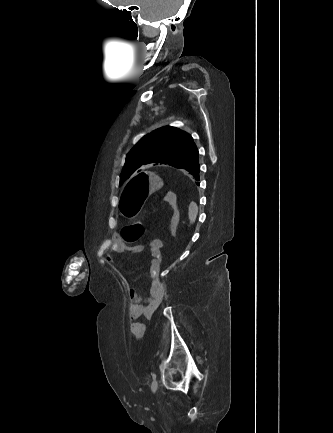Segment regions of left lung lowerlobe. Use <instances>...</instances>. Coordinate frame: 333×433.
I'll list each match as a JSON object with an SVG mask.
<instances>
[{
	"label": "left lung lower lobe",
	"mask_w": 333,
	"mask_h": 433,
	"mask_svg": "<svg viewBox=\"0 0 333 433\" xmlns=\"http://www.w3.org/2000/svg\"><path fill=\"white\" fill-rule=\"evenodd\" d=\"M198 159L199 158L197 157L191 163H189L188 165L182 168L188 171L196 180H199V174H200V165Z\"/></svg>",
	"instance_id": "0a47b994"
}]
</instances>
